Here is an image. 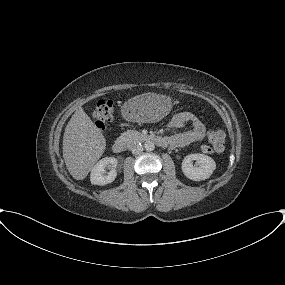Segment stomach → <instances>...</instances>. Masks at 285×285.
<instances>
[{"instance_id": "stomach-1", "label": "stomach", "mask_w": 285, "mask_h": 285, "mask_svg": "<svg viewBox=\"0 0 285 285\" xmlns=\"http://www.w3.org/2000/svg\"><path fill=\"white\" fill-rule=\"evenodd\" d=\"M172 109L169 96L153 92L144 93L129 99L122 106V115L136 122H158Z\"/></svg>"}]
</instances>
